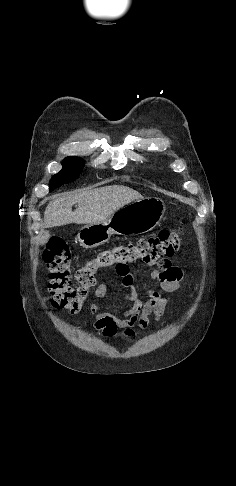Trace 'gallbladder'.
<instances>
[{
	"label": "gallbladder",
	"instance_id": "obj_1",
	"mask_svg": "<svg viewBox=\"0 0 236 486\" xmlns=\"http://www.w3.org/2000/svg\"><path fill=\"white\" fill-rule=\"evenodd\" d=\"M49 237H50L49 233L44 232L43 235H42V239H41L42 243L45 244L48 241Z\"/></svg>",
	"mask_w": 236,
	"mask_h": 486
}]
</instances>
